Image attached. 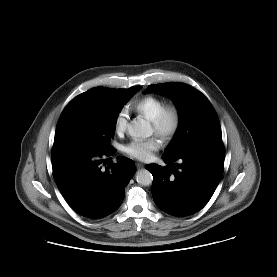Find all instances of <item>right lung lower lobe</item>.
I'll return each instance as SVG.
<instances>
[{
  "instance_id": "obj_1",
  "label": "right lung lower lobe",
  "mask_w": 277,
  "mask_h": 277,
  "mask_svg": "<svg viewBox=\"0 0 277 277\" xmlns=\"http://www.w3.org/2000/svg\"><path fill=\"white\" fill-rule=\"evenodd\" d=\"M111 151L54 143L52 167L54 180L70 207L81 216L102 218L115 211L122 203L125 186L136 172L133 161L119 157L116 164L105 169L103 156Z\"/></svg>"
}]
</instances>
